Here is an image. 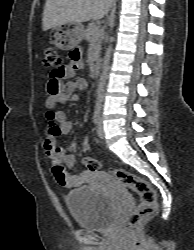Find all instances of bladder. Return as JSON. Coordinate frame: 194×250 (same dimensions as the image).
Masks as SVG:
<instances>
[{"instance_id":"31cf9c89","label":"bladder","mask_w":194,"mask_h":250,"mask_svg":"<svg viewBox=\"0 0 194 250\" xmlns=\"http://www.w3.org/2000/svg\"><path fill=\"white\" fill-rule=\"evenodd\" d=\"M65 200L74 221L89 230L108 228L117 215L115 200L89 185L70 190Z\"/></svg>"}]
</instances>
